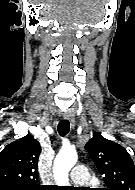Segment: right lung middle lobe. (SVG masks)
I'll return each instance as SVG.
<instances>
[{
	"instance_id": "1",
	"label": "right lung middle lobe",
	"mask_w": 135,
	"mask_h": 190,
	"mask_svg": "<svg viewBox=\"0 0 135 190\" xmlns=\"http://www.w3.org/2000/svg\"><path fill=\"white\" fill-rule=\"evenodd\" d=\"M39 189H37V190H39ZM0 190H19V189L18 188H14V187H2V188H0ZM26 190H32V189H26Z\"/></svg>"
}]
</instances>
